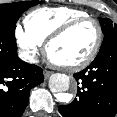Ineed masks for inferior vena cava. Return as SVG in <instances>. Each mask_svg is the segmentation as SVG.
<instances>
[{
    "label": "inferior vena cava",
    "instance_id": "obj_1",
    "mask_svg": "<svg viewBox=\"0 0 117 117\" xmlns=\"http://www.w3.org/2000/svg\"><path fill=\"white\" fill-rule=\"evenodd\" d=\"M20 57L22 59H28L30 62H33V63H37L38 62V60L34 59L32 56L26 57V56H24L23 53L20 54Z\"/></svg>",
    "mask_w": 117,
    "mask_h": 117
}]
</instances>
